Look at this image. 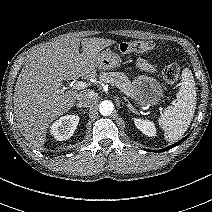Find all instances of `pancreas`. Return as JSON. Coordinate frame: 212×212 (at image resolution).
Here are the masks:
<instances>
[{"label":"pancreas","instance_id":"obj_1","mask_svg":"<svg viewBox=\"0 0 212 212\" xmlns=\"http://www.w3.org/2000/svg\"><path fill=\"white\" fill-rule=\"evenodd\" d=\"M100 79L106 83L116 86L121 92L130 94L132 91V84L128 77L120 72H102Z\"/></svg>","mask_w":212,"mask_h":212}]
</instances>
